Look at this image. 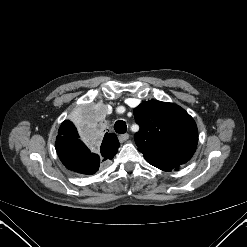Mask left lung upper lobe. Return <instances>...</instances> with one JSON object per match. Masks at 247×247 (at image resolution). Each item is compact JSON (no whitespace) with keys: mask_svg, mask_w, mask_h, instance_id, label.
Instances as JSON below:
<instances>
[{"mask_svg":"<svg viewBox=\"0 0 247 247\" xmlns=\"http://www.w3.org/2000/svg\"><path fill=\"white\" fill-rule=\"evenodd\" d=\"M140 130L134 139L138 150L150 164H185L198 142L193 118L180 106L157 100L141 103L134 109Z\"/></svg>","mask_w":247,"mask_h":247,"instance_id":"obj_1","label":"left lung upper lobe"}]
</instances>
